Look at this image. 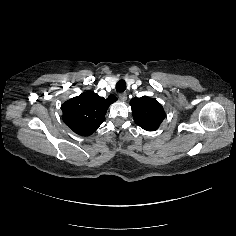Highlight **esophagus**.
<instances>
[{"label": "esophagus", "mask_w": 236, "mask_h": 236, "mask_svg": "<svg viewBox=\"0 0 236 236\" xmlns=\"http://www.w3.org/2000/svg\"><path fill=\"white\" fill-rule=\"evenodd\" d=\"M119 98L122 100V101H125L127 99V93H120L119 94Z\"/></svg>", "instance_id": "esophagus-1"}]
</instances>
